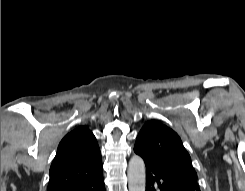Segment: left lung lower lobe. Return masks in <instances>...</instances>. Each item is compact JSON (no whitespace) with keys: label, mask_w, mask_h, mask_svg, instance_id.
I'll return each mask as SVG.
<instances>
[{"label":"left lung lower lobe","mask_w":245,"mask_h":191,"mask_svg":"<svg viewBox=\"0 0 245 191\" xmlns=\"http://www.w3.org/2000/svg\"><path fill=\"white\" fill-rule=\"evenodd\" d=\"M146 166V191H200L199 186L187 184L173 174L149 164Z\"/></svg>","instance_id":"obj_1"}]
</instances>
